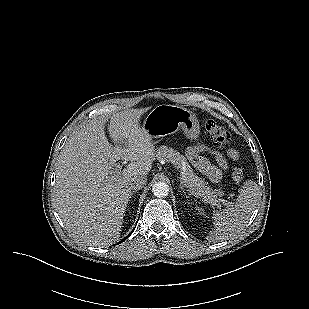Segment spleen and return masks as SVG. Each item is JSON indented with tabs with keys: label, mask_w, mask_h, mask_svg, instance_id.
I'll list each match as a JSON object with an SVG mask.
<instances>
[{
	"label": "spleen",
	"mask_w": 309,
	"mask_h": 309,
	"mask_svg": "<svg viewBox=\"0 0 309 309\" xmlns=\"http://www.w3.org/2000/svg\"><path fill=\"white\" fill-rule=\"evenodd\" d=\"M259 193L256 182H244L234 205L213 213L214 230L209 233L207 239L212 242L228 240L243 230L255 209ZM197 210L200 215H204L202 208Z\"/></svg>",
	"instance_id": "3e777b00"
}]
</instances>
